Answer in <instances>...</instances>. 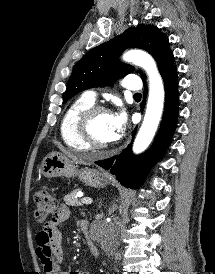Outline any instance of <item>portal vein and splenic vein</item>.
<instances>
[{
	"label": "portal vein and splenic vein",
	"instance_id": "1",
	"mask_svg": "<svg viewBox=\"0 0 215 274\" xmlns=\"http://www.w3.org/2000/svg\"><path fill=\"white\" fill-rule=\"evenodd\" d=\"M81 202H82L83 204L89 205V204L92 203V199L89 198V197H84V198H82Z\"/></svg>",
	"mask_w": 215,
	"mask_h": 274
}]
</instances>
